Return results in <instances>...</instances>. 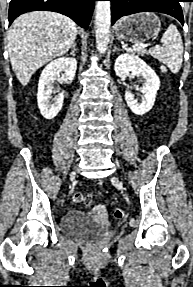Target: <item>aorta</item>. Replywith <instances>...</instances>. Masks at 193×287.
<instances>
[{"instance_id":"1","label":"aorta","mask_w":193,"mask_h":287,"mask_svg":"<svg viewBox=\"0 0 193 287\" xmlns=\"http://www.w3.org/2000/svg\"><path fill=\"white\" fill-rule=\"evenodd\" d=\"M111 26L110 1H98L95 10L96 48L104 54L108 48Z\"/></svg>"}]
</instances>
